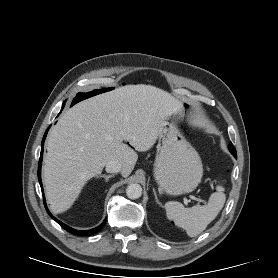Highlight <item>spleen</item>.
<instances>
[{"label": "spleen", "instance_id": "obj_1", "mask_svg": "<svg viewBox=\"0 0 278 278\" xmlns=\"http://www.w3.org/2000/svg\"><path fill=\"white\" fill-rule=\"evenodd\" d=\"M225 201L224 188L217 186V192L211 194L207 205L185 208L179 202L169 201L165 204V209L168 219L185 229L188 236L195 237L216 218Z\"/></svg>", "mask_w": 278, "mask_h": 278}]
</instances>
